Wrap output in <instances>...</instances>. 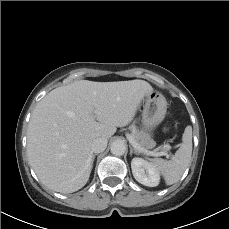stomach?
Instances as JSON below:
<instances>
[{
  "instance_id": "obj_1",
  "label": "stomach",
  "mask_w": 229,
  "mask_h": 229,
  "mask_svg": "<svg viewBox=\"0 0 229 229\" xmlns=\"http://www.w3.org/2000/svg\"><path fill=\"white\" fill-rule=\"evenodd\" d=\"M167 111L166 99L157 91L153 90L146 94L142 111V134L146 148H153L155 141L152 131L163 121Z\"/></svg>"
}]
</instances>
